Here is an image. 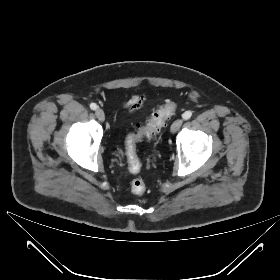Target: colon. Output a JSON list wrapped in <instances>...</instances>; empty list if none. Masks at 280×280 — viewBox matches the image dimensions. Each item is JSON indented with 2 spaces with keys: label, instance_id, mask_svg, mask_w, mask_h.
Here are the masks:
<instances>
[{
  "label": "colon",
  "instance_id": "5ec220e1",
  "mask_svg": "<svg viewBox=\"0 0 280 280\" xmlns=\"http://www.w3.org/2000/svg\"><path fill=\"white\" fill-rule=\"evenodd\" d=\"M177 107V103L169 102L158 108L145 125H137L136 131L127 136L125 140V154L129 169L132 172H137L140 169V161L136 152L137 142L144 138L148 140L155 139L157 133H159L161 128L165 125L166 120L175 113ZM130 188L134 195H141L145 192L146 185L143 180L134 179L131 182Z\"/></svg>",
  "mask_w": 280,
  "mask_h": 280
}]
</instances>
